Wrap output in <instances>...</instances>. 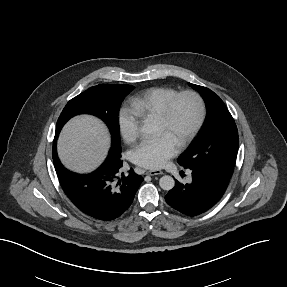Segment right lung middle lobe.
I'll use <instances>...</instances> for the list:
<instances>
[{
  "label": "right lung middle lobe",
  "instance_id": "dd1d6c3e",
  "mask_svg": "<svg viewBox=\"0 0 287 287\" xmlns=\"http://www.w3.org/2000/svg\"><path fill=\"white\" fill-rule=\"evenodd\" d=\"M134 89L132 85L101 84L89 88L71 99L63 109L57 126L61 127L73 116L91 114L102 119L112 137L109 157H121L118 112L124 97ZM106 159V160H107Z\"/></svg>",
  "mask_w": 287,
  "mask_h": 287
}]
</instances>
